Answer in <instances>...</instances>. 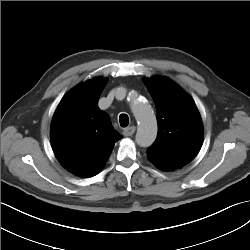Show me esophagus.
I'll use <instances>...</instances> for the list:
<instances>
[{"label":"esophagus","mask_w":250,"mask_h":250,"mask_svg":"<svg viewBox=\"0 0 250 250\" xmlns=\"http://www.w3.org/2000/svg\"><path fill=\"white\" fill-rule=\"evenodd\" d=\"M136 131V127L135 126H130L127 127L123 130V135L126 137L132 136Z\"/></svg>","instance_id":"esophagus-1"}]
</instances>
